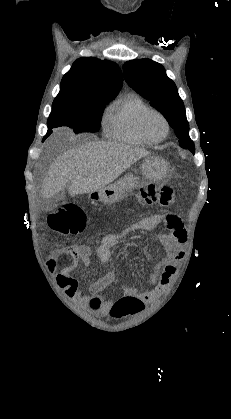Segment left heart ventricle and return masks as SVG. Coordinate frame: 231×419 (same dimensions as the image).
Returning <instances> with one entry per match:
<instances>
[{"label":"left heart ventricle","mask_w":231,"mask_h":419,"mask_svg":"<svg viewBox=\"0 0 231 419\" xmlns=\"http://www.w3.org/2000/svg\"><path fill=\"white\" fill-rule=\"evenodd\" d=\"M145 128L147 133L153 138H160L165 133V124L156 114H152L147 118Z\"/></svg>","instance_id":"b2bd125f"}]
</instances>
